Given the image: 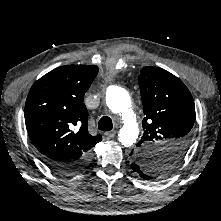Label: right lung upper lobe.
<instances>
[{"instance_id": "cb5924a9", "label": "right lung upper lobe", "mask_w": 221, "mask_h": 221, "mask_svg": "<svg viewBox=\"0 0 221 221\" xmlns=\"http://www.w3.org/2000/svg\"><path fill=\"white\" fill-rule=\"evenodd\" d=\"M99 69L97 66L58 67L32 86L25 104L29 137L43 159L76 162L90 156L101 135L88 133L84 94Z\"/></svg>"}]
</instances>
